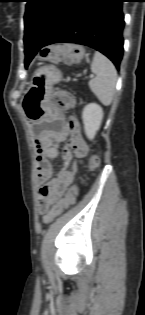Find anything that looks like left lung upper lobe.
I'll return each mask as SVG.
<instances>
[{
    "mask_svg": "<svg viewBox=\"0 0 145 315\" xmlns=\"http://www.w3.org/2000/svg\"><path fill=\"white\" fill-rule=\"evenodd\" d=\"M73 0H27L24 16L25 34L46 40Z\"/></svg>",
    "mask_w": 145,
    "mask_h": 315,
    "instance_id": "5c2ea615",
    "label": "left lung upper lobe"
}]
</instances>
